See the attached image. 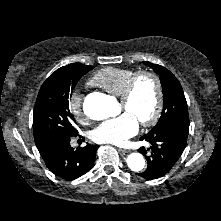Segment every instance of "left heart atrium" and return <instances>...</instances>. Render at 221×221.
Wrapping results in <instances>:
<instances>
[{
  "label": "left heart atrium",
  "instance_id": "39dd6f15",
  "mask_svg": "<svg viewBox=\"0 0 221 221\" xmlns=\"http://www.w3.org/2000/svg\"><path fill=\"white\" fill-rule=\"evenodd\" d=\"M139 129L138 120L130 113L122 114L106 120L92 131V138L98 143L124 145Z\"/></svg>",
  "mask_w": 221,
  "mask_h": 221
}]
</instances>
